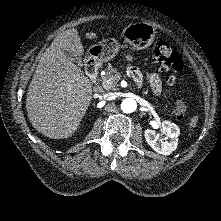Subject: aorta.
<instances>
[{
    "instance_id": "aorta-1",
    "label": "aorta",
    "mask_w": 221,
    "mask_h": 221,
    "mask_svg": "<svg viewBox=\"0 0 221 221\" xmlns=\"http://www.w3.org/2000/svg\"><path fill=\"white\" fill-rule=\"evenodd\" d=\"M121 109L124 113H133L137 109V103L132 98H126L121 103Z\"/></svg>"
}]
</instances>
